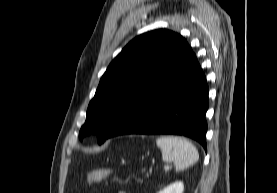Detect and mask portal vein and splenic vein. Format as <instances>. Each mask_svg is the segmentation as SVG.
<instances>
[{
  "mask_svg": "<svg viewBox=\"0 0 277 193\" xmlns=\"http://www.w3.org/2000/svg\"><path fill=\"white\" fill-rule=\"evenodd\" d=\"M169 168H170L169 165H165V166H164V169H165V170H168Z\"/></svg>",
  "mask_w": 277,
  "mask_h": 193,
  "instance_id": "18ae733b",
  "label": "portal vein and splenic vein"
}]
</instances>
